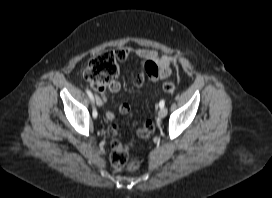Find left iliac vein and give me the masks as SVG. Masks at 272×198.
I'll list each match as a JSON object with an SVG mask.
<instances>
[{
	"instance_id": "1",
	"label": "left iliac vein",
	"mask_w": 272,
	"mask_h": 198,
	"mask_svg": "<svg viewBox=\"0 0 272 198\" xmlns=\"http://www.w3.org/2000/svg\"><path fill=\"white\" fill-rule=\"evenodd\" d=\"M167 115V109L166 108H161L158 112V117L159 118H164Z\"/></svg>"
}]
</instances>
